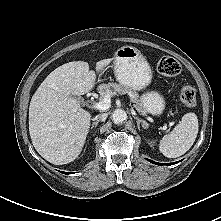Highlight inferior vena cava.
Returning a JSON list of instances; mask_svg holds the SVG:
<instances>
[{"label": "inferior vena cava", "instance_id": "inferior-vena-cava-1", "mask_svg": "<svg viewBox=\"0 0 221 221\" xmlns=\"http://www.w3.org/2000/svg\"><path fill=\"white\" fill-rule=\"evenodd\" d=\"M107 118V114L103 113V114H99L97 116H95V118H93L94 121H100V120H105Z\"/></svg>", "mask_w": 221, "mask_h": 221}]
</instances>
